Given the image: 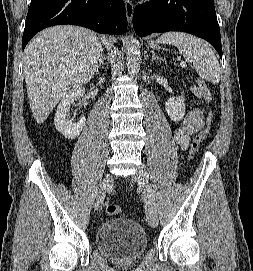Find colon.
Instances as JSON below:
<instances>
[{
    "label": "colon",
    "instance_id": "1",
    "mask_svg": "<svg viewBox=\"0 0 253 271\" xmlns=\"http://www.w3.org/2000/svg\"><path fill=\"white\" fill-rule=\"evenodd\" d=\"M198 89L201 95L203 96L205 103L207 105H211L213 101V96L208 85L203 81H199ZM211 122H212V116L211 114H209L207 117V126L195 135V137L193 138L190 144V149H189L190 158L195 157L196 154L198 153V150L209 131ZM106 211L109 215L116 216L121 213V207L116 204H109L106 208Z\"/></svg>",
    "mask_w": 253,
    "mask_h": 271
}]
</instances>
